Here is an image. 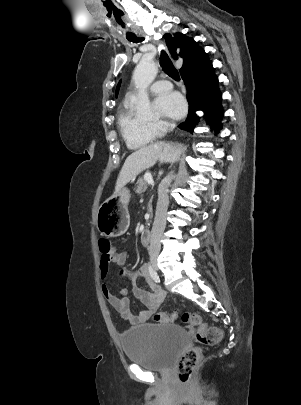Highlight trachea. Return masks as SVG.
<instances>
[{
	"mask_svg": "<svg viewBox=\"0 0 301 405\" xmlns=\"http://www.w3.org/2000/svg\"><path fill=\"white\" fill-rule=\"evenodd\" d=\"M128 41L133 42V43H138L142 42L144 38H139L136 35L127 37ZM160 60H161V67L163 71L171 78H173L176 81H180V76L176 68L174 67L171 59L169 58L168 54L166 53L165 50H161V55H160Z\"/></svg>",
	"mask_w": 301,
	"mask_h": 405,
	"instance_id": "trachea-1",
	"label": "trachea"
}]
</instances>
